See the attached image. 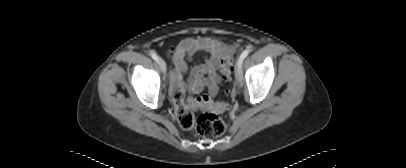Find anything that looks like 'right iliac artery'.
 <instances>
[{
  "label": "right iliac artery",
  "mask_w": 406,
  "mask_h": 168,
  "mask_svg": "<svg viewBox=\"0 0 406 168\" xmlns=\"http://www.w3.org/2000/svg\"><path fill=\"white\" fill-rule=\"evenodd\" d=\"M151 57L156 61V62H159V57L157 56V54L156 53H154V52H151Z\"/></svg>",
  "instance_id": "right-iliac-artery-1"
}]
</instances>
